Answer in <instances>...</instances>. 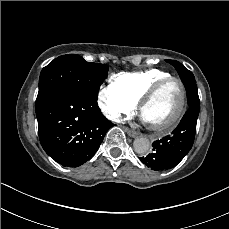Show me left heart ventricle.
Here are the masks:
<instances>
[{
  "mask_svg": "<svg viewBox=\"0 0 229 229\" xmlns=\"http://www.w3.org/2000/svg\"><path fill=\"white\" fill-rule=\"evenodd\" d=\"M179 84L177 81H170L151 97L141 115L145 123L158 128L160 124L166 125V120L176 110Z\"/></svg>",
  "mask_w": 229,
  "mask_h": 229,
  "instance_id": "left-heart-ventricle-1",
  "label": "left heart ventricle"
}]
</instances>
